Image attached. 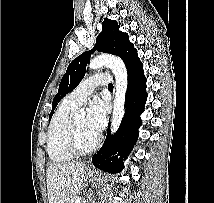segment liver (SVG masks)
Instances as JSON below:
<instances>
[{"instance_id": "6515ba94", "label": "liver", "mask_w": 214, "mask_h": 203, "mask_svg": "<svg viewBox=\"0 0 214 203\" xmlns=\"http://www.w3.org/2000/svg\"><path fill=\"white\" fill-rule=\"evenodd\" d=\"M85 163L51 164L46 170L49 203H68L83 184Z\"/></svg>"}]
</instances>
